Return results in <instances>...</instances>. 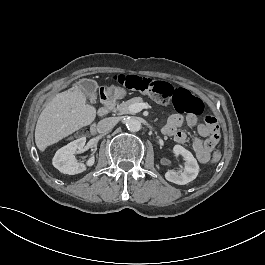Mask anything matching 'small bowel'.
<instances>
[{
  "mask_svg": "<svg viewBox=\"0 0 265 265\" xmlns=\"http://www.w3.org/2000/svg\"><path fill=\"white\" fill-rule=\"evenodd\" d=\"M191 127L197 126L196 119L193 116L182 117L179 114L171 115L164 127L162 133L166 136L172 137L176 143L185 144L189 137L181 129L184 123ZM200 137H192V149L200 163H207L211 158V153L220 141V132L217 123L214 124H200L197 126Z\"/></svg>",
  "mask_w": 265,
  "mask_h": 265,
  "instance_id": "small-bowel-1",
  "label": "small bowel"
}]
</instances>
